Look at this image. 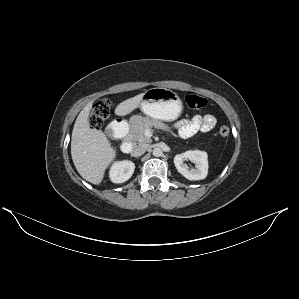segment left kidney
I'll list each match as a JSON object with an SVG mask.
<instances>
[{
    "instance_id": "left-kidney-1",
    "label": "left kidney",
    "mask_w": 299,
    "mask_h": 299,
    "mask_svg": "<svg viewBox=\"0 0 299 299\" xmlns=\"http://www.w3.org/2000/svg\"><path fill=\"white\" fill-rule=\"evenodd\" d=\"M208 156L204 151L189 150L174 157V164L178 172L188 180H202L208 174ZM189 159L195 164L196 169L189 170L183 163Z\"/></svg>"
}]
</instances>
